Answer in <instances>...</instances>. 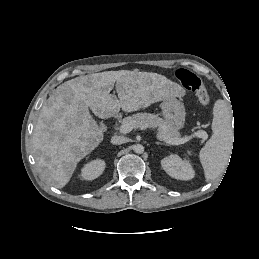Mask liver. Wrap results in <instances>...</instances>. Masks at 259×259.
I'll return each instance as SVG.
<instances>
[{"mask_svg":"<svg viewBox=\"0 0 259 259\" xmlns=\"http://www.w3.org/2000/svg\"><path fill=\"white\" fill-rule=\"evenodd\" d=\"M114 85L118 98L110 94ZM180 95L182 88L165 76L137 70L105 71L64 82L43 105L34 127L33 152L41 175L63 188L78 162L103 141L89 109L107 119L120 109L129 113Z\"/></svg>","mask_w":259,"mask_h":259,"instance_id":"1","label":"liver"}]
</instances>
